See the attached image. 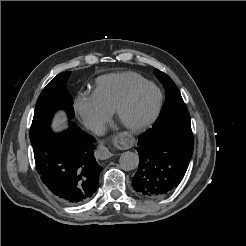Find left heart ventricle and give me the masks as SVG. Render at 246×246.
Returning <instances> with one entry per match:
<instances>
[{
	"mask_svg": "<svg viewBox=\"0 0 246 246\" xmlns=\"http://www.w3.org/2000/svg\"><path fill=\"white\" fill-rule=\"evenodd\" d=\"M156 93L153 89H145L139 93L123 113V120L136 124L143 121L150 113Z\"/></svg>",
	"mask_w": 246,
	"mask_h": 246,
	"instance_id": "obj_1",
	"label": "left heart ventricle"
}]
</instances>
